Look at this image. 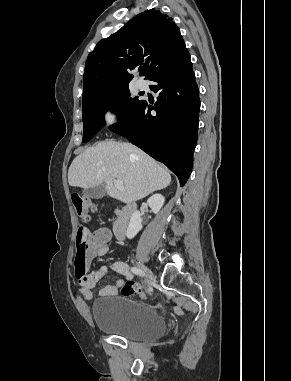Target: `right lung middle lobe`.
<instances>
[{
    "label": "right lung middle lobe",
    "instance_id": "obj_1",
    "mask_svg": "<svg viewBox=\"0 0 291 381\" xmlns=\"http://www.w3.org/2000/svg\"><path fill=\"white\" fill-rule=\"evenodd\" d=\"M142 101L132 98L128 86L109 90L96 99L85 103L83 107V142L89 141L104 125V113L112 109L123 121L132 115ZM120 123V122H119Z\"/></svg>",
    "mask_w": 291,
    "mask_h": 381
}]
</instances>
